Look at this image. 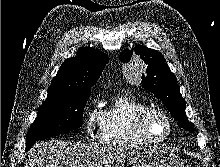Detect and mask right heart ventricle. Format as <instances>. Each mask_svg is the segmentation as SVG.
<instances>
[{"label": "right heart ventricle", "instance_id": "e07e8e85", "mask_svg": "<svg viewBox=\"0 0 220 167\" xmlns=\"http://www.w3.org/2000/svg\"><path fill=\"white\" fill-rule=\"evenodd\" d=\"M148 105L128 93L116 95L102 112L99 138L112 145H139L145 141L136 128V120Z\"/></svg>", "mask_w": 220, "mask_h": 167}]
</instances>
